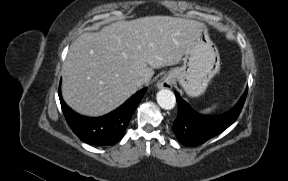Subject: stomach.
Segmentation results:
<instances>
[{
	"instance_id": "0dacf381",
	"label": "stomach",
	"mask_w": 288,
	"mask_h": 181,
	"mask_svg": "<svg viewBox=\"0 0 288 181\" xmlns=\"http://www.w3.org/2000/svg\"><path fill=\"white\" fill-rule=\"evenodd\" d=\"M219 68L218 49L209 37L207 26L199 23L185 48L183 65L171 69L165 78L177 80L189 96L196 97L205 92Z\"/></svg>"
}]
</instances>
